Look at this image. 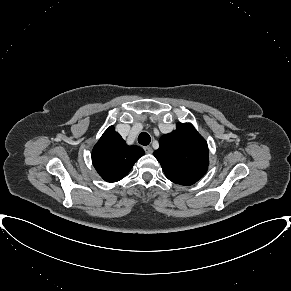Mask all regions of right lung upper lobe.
<instances>
[{"mask_svg": "<svg viewBox=\"0 0 291 291\" xmlns=\"http://www.w3.org/2000/svg\"><path fill=\"white\" fill-rule=\"evenodd\" d=\"M143 155L142 148L128 146L115 128L110 126L94 146L92 162L105 181L116 182L125 177Z\"/></svg>", "mask_w": 291, "mask_h": 291, "instance_id": "1", "label": "right lung upper lobe"}]
</instances>
